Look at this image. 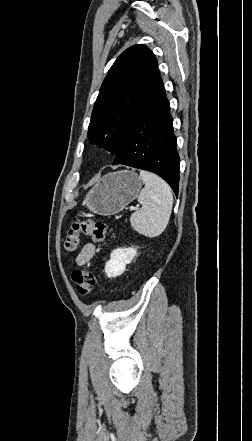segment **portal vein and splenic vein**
<instances>
[{"instance_id": "portal-vein-and-splenic-vein-1", "label": "portal vein and splenic vein", "mask_w": 252, "mask_h": 441, "mask_svg": "<svg viewBox=\"0 0 252 441\" xmlns=\"http://www.w3.org/2000/svg\"><path fill=\"white\" fill-rule=\"evenodd\" d=\"M134 210H136L135 207H130V211H134Z\"/></svg>"}]
</instances>
